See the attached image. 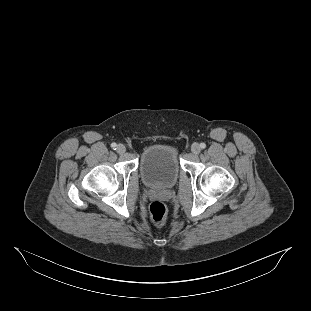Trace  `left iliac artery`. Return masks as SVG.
<instances>
[{
    "label": "left iliac artery",
    "mask_w": 311,
    "mask_h": 311,
    "mask_svg": "<svg viewBox=\"0 0 311 311\" xmlns=\"http://www.w3.org/2000/svg\"><path fill=\"white\" fill-rule=\"evenodd\" d=\"M206 147L205 143H200V148L204 149Z\"/></svg>",
    "instance_id": "1"
}]
</instances>
